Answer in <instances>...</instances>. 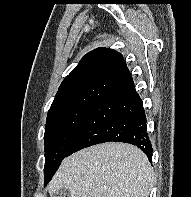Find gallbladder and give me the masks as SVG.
Returning a JSON list of instances; mask_svg holds the SVG:
<instances>
[{"label": "gallbladder", "instance_id": "gallbladder-1", "mask_svg": "<svg viewBox=\"0 0 191 197\" xmlns=\"http://www.w3.org/2000/svg\"><path fill=\"white\" fill-rule=\"evenodd\" d=\"M53 197H71L67 189H61L54 193Z\"/></svg>", "mask_w": 191, "mask_h": 197}]
</instances>
